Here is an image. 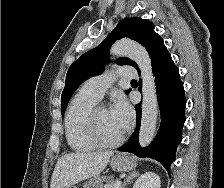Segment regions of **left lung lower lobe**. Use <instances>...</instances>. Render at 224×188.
<instances>
[{
	"mask_svg": "<svg viewBox=\"0 0 224 188\" xmlns=\"http://www.w3.org/2000/svg\"><path fill=\"white\" fill-rule=\"evenodd\" d=\"M157 99L161 114V125L153 142L140 148L138 134L141 124V104L136 109V129L132 138L119 151L130 152L138 157H150L161 162L167 171L175 159L176 149L182 140V127L185 122L186 98L179 70L171 55L153 68ZM141 91V84L139 85Z\"/></svg>",
	"mask_w": 224,
	"mask_h": 188,
	"instance_id": "1",
	"label": "left lung lower lobe"
}]
</instances>
